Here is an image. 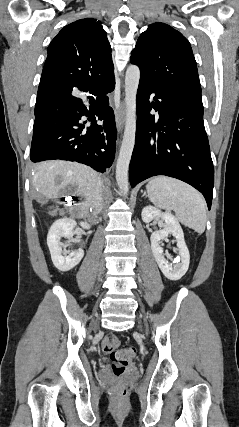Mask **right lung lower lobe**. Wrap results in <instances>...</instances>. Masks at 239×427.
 Listing matches in <instances>:
<instances>
[{
	"instance_id": "1",
	"label": "right lung lower lobe",
	"mask_w": 239,
	"mask_h": 427,
	"mask_svg": "<svg viewBox=\"0 0 239 427\" xmlns=\"http://www.w3.org/2000/svg\"><path fill=\"white\" fill-rule=\"evenodd\" d=\"M114 87L115 77L111 76L92 87L67 88L36 100L41 105L35 113L31 161H77L100 172L109 168L117 130L107 94ZM98 120L103 124H97Z\"/></svg>"
}]
</instances>
